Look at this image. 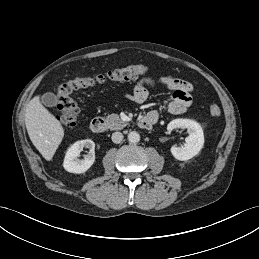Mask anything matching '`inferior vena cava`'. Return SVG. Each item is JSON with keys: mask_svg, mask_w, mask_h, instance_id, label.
Returning <instances> with one entry per match:
<instances>
[{"mask_svg": "<svg viewBox=\"0 0 259 259\" xmlns=\"http://www.w3.org/2000/svg\"><path fill=\"white\" fill-rule=\"evenodd\" d=\"M111 138L114 143H120L123 140V134L121 132H114Z\"/></svg>", "mask_w": 259, "mask_h": 259, "instance_id": "obj_1", "label": "inferior vena cava"}]
</instances>
